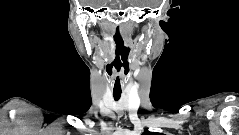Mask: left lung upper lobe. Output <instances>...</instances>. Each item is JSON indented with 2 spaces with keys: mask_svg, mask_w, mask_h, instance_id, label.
<instances>
[{
  "mask_svg": "<svg viewBox=\"0 0 239 135\" xmlns=\"http://www.w3.org/2000/svg\"><path fill=\"white\" fill-rule=\"evenodd\" d=\"M160 133H151L149 131L143 133V135H159Z\"/></svg>",
  "mask_w": 239,
  "mask_h": 135,
  "instance_id": "obj_1",
  "label": "left lung upper lobe"
}]
</instances>
